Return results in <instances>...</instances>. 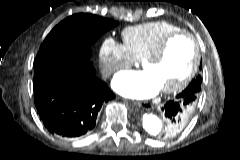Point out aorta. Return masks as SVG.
Returning a JSON list of instances; mask_svg holds the SVG:
<instances>
[{"label": "aorta", "mask_w": 240, "mask_h": 160, "mask_svg": "<svg viewBox=\"0 0 240 160\" xmlns=\"http://www.w3.org/2000/svg\"><path fill=\"white\" fill-rule=\"evenodd\" d=\"M142 127L149 136L157 137L163 130V122L153 113H144Z\"/></svg>", "instance_id": "1"}]
</instances>
